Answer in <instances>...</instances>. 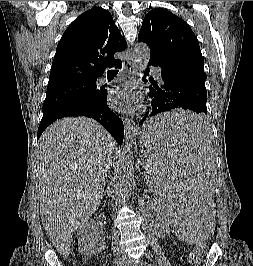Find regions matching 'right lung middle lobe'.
<instances>
[{
  "instance_id": "dd1d6c3e",
  "label": "right lung middle lobe",
  "mask_w": 253,
  "mask_h": 266,
  "mask_svg": "<svg viewBox=\"0 0 253 266\" xmlns=\"http://www.w3.org/2000/svg\"><path fill=\"white\" fill-rule=\"evenodd\" d=\"M96 80L68 82L47 87L41 122L52 121L58 116L74 114L91 107L101 97Z\"/></svg>"
}]
</instances>
